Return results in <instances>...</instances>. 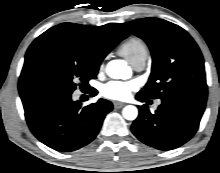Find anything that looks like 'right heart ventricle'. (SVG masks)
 Returning <instances> with one entry per match:
<instances>
[{
    "instance_id": "1",
    "label": "right heart ventricle",
    "mask_w": 220,
    "mask_h": 173,
    "mask_svg": "<svg viewBox=\"0 0 220 173\" xmlns=\"http://www.w3.org/2000/svg\"><path fill=\"white\" fill-rule=\"evenodd\" d=\"M120 53L132 63L139 57H147L148 47L142 39L131 37L122 44L120 47Z\"/></svg>"
}]
</instances>
